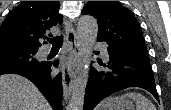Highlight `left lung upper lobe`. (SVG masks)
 <instances>
[{
  "instance_id": "1",
  "label": "left lung upper lobe",
  "mask_w": 171,
  "mask_h": 110,
  "mask_svg": "<svg viewBox=\"0 0 171 110\" xmlns=\"http://www.w3.org/2000/svg\"><path fill=\"white\" fill-rule=\"evenodd\" d=\"M82 14L98 22V40L122 54L149 60L145 40L134 14L118 1H88Z\"/></svg>"
}]
</instances>
